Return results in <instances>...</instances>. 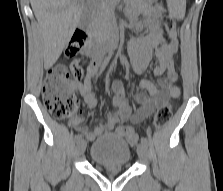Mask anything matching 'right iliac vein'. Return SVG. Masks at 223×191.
<instances>
[{
  "instance_id": "right-iliac-vein-1",
  "label": "right iliac vein",
  "mask_w": 223,
  "mask_h": 191,
  "mask_svg": "<svg viewBox=\"0 0 223 191\" xmlns=\"http://www.w3.org/2000/svg\"><path fill=\"white\" fill-rule=\"evenodd\" d=\"M86 148V141L84 139H79L77 141V153L81 155Z\"/></svg>"
}]
</instances>
